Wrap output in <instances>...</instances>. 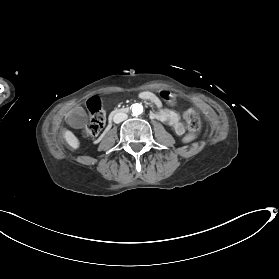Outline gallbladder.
<instances>
[{
	"mask_svg": "<svg viewBox=\"0 0 279 279\" xmlns=\"http://www.w3.org/2000/svg\"><path fill=\"white\" fill-rule=\"evenodd\" d=\"M70 121L73 126L80 127V126H84L87 124L88 117L86 114L81 113L80 111H73L70 114Z\"/></svg>",
	"mask_w": 279,
	"mask_h": 279,
	"instance_id": "bac80fb5",
	"label": "gallbladder"
}]
</instances>
